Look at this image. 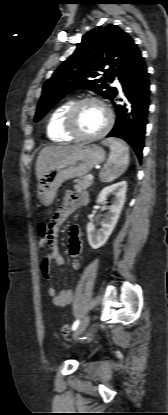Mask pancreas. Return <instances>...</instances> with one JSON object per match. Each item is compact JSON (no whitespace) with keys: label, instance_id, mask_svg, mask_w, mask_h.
<instances>
[{"label":"pancreas","instance_id":"cf45deb5","mask_svg":"<svg viewBox=\"0 0 168 415\" xmlns=\"http://www.w3.org/2000/svg\"><path fill=\"white\" fill-rule=\"evenodd\" d=\"M74 183H75V185H74L75 190L83 191V190H86L87 188H89L92 185L93 180H89L87 178V176H83L79 179H76L74 181Z\"/></svg>","mask_w":168,"mask_h":415}]
</instances>
